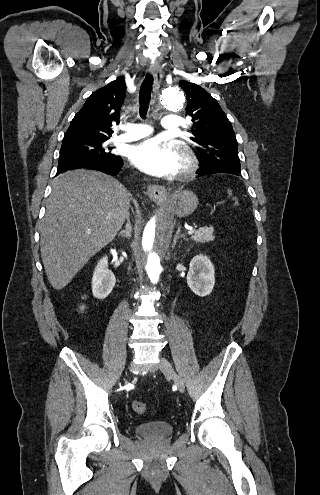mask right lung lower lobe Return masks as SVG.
Here are the masks:
<instances>
[{"label": "right lung lower lobe", "instance_id": "obj_1", "mask_svg": "<svg viewBox=\"0 0 320 495\" xmlns=\"http://www.w3.org/2000/svg\"><path fill=\"white\" fill-rule=\"evenodd\" d=\"M123 166V160L120 156L111 159H66L58 163L57 174L72 169H91L104 172L109 175H117Z\"/></svg>", "mask_w": 320, "mask_h": 495}]
</instances>
